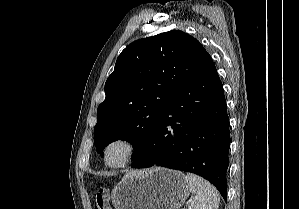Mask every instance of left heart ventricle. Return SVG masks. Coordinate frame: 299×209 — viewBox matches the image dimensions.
Wrapping results in <instances>:
<instances>
[{
  "label": "left heart ventricle",
  "mask_w": 299,
  "mask_h": 209,
  "mask_svg": "<svg viewBox=\"0 0 299 209\" xmlns=\"http://www.w3.org/2000/svg\"><path fill=\"white\" fill-rule=\"evenodd\" d=\"M126 152V148L125 146L121 145V144H116L113 145L107 154V161L110 164H116L119 163L125 155Z\"/></svg>",
  "instance_id": "obj_1"
}]
</instances>
